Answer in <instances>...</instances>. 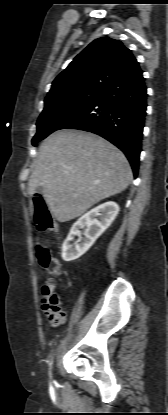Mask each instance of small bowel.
I'll return each mask as SVG.
<instances>
[{
    "mask_svg": "<svg viewBox=\"0 0 168 415\" xmlns=\"http://www.w3.org/2000/svg\"><path fill=\"white\" fill-rule=\"evenodd\" d=\"M41 294V308L49 322L53 326L63 324L66 320V314L59 295L54 292V288L46 284L42 287Z\"/></svg>",
    "mask_w": 168,
    "mask_h": 415,
    "instance_id": "1",
    "label": "small bowel"
}]
</instances>
